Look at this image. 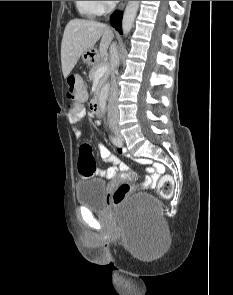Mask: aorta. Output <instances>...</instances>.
I'll use <instances>...</instances> for the list:
<instances>
[{"label":"aorta","instance_id":"1","mask_svg":"<svg viewBox=\"0 0 233 295\" xmlns=\"http://www.w3.org/2000/svg\"><path fill=\"white\" fill-rule=\"evenodd\" d=\"M139 3L140 1H128L127 3V6L124 11V15H123V20H122V29H123L124 35H127L133 27V24L137 15V11L139 8ZM107 94H108V87H105L99 97V106L102 110H104L106 106Z\"/></svg>","mask_w":233,"mask_h":295}]
</instances>
